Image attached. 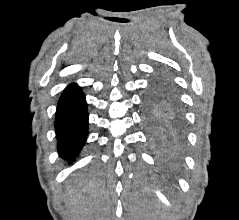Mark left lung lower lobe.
Here are the masks:
<instances>
[{
	"label": "left lung lower lobe",
	"mask_w": 239,
	"mask_h": 220,
	"mask_svg": "<svg viewBox=\"0 0 239 220\" xmlns=\"http://www.w3.org/2000/svg\"><path fill=\"white\" fill-rule=\"evenodd\" d=\"M180 136L181 112L177 110L162 127L155 130L153 141L164 157L172 159L177 155Z\"/></svg>",
	"instance_id": "obj_1"
}]
</instances>
